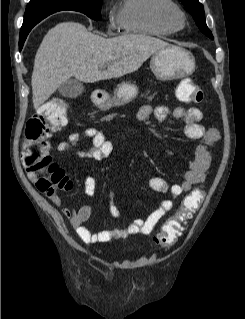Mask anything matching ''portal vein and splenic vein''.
Returning a JSON list of instances; mask_svg holds the SVG:
<instances>
[{"label": "portal vein and splenic vein", "mask_w": 245, "mask_h": 319, "mask_svg": "<svg viewBox=\"0 0 245 319\" xmlns=\"http://www.w3.org/2000/svg\"><path fill=\"white\" fill-rule=\"evenodd\" d=\"M100 68H101V69H105V68H106V65H105V64H102V65H100Z\"/></svg>", "instance_id": "1"}]
</instances>
